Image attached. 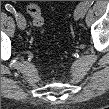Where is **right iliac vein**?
Returning a JSON list of instances; mask_svg holds the SVG:
<instances>
[{
	"label": "right iliac vein",
	"mask_w": 109,
	"mask_h": 109,
	"mask_svg": "<svg viewBox=\"0 0 109 109\" xmlns=\"http://www.w3.org/2000/svg\"><path fill=\"white\" fill-rule=\"evenodd\" d=\"M16 20H17L18 27L24 30L26 28V20L24 16L21 14H18V18Z\"/></svg>",
	"instance_id": "1"
}]
</instances>
